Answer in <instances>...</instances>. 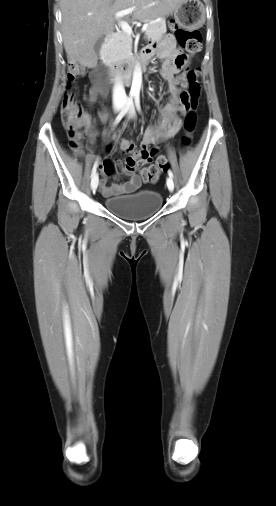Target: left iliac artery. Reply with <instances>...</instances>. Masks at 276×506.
<instances>
[{
  "instance_id": "obj_1",
  "label": "left iliac artery",
  "mask_w": 276,
  "mask_h": 506,
  "mask_svg": "<svg viewBox=\"0 0 276 506\" xmlns=\"http://www.w3.org/2000/svg\"><path fill=\"white\" fill-rule=\"evenodd\" d=\"M134 99H135V105H136V108H137V110L140 112V111H141V107H140V96H139V94H138V93H137V94H135ZM168 175H169V177L173 178V173H172V171H171V170H168Z\"/></svg>"
}]
</instances>
